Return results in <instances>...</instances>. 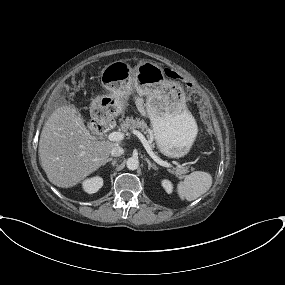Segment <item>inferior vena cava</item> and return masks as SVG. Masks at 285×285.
<instances>
[{
  "label": "inferior vena cava",
  "instance_id": "obj_1",
  "mask_svg": "<svg viewBox=\"0 0 285 285\" xmlns=\"http://www.w3.org/2000/svg\"><path fill=\"white\" fill-rule=\"evenodd\" d=\"M124 153V149L120 146H115L111 150V156L113 157H118L121 156Z\"/></svg>",
  "mask_w": 285,
  "mask_h": 285
}]
</instances>
